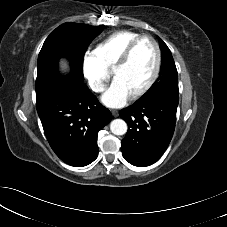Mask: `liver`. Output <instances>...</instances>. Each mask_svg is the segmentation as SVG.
Wrapping results in <instances>:
<instances>
[{"instance_id": "1", "label": "liver", "mask_w": 227, "mask_h": 227, "mask_svg": "<svg viewBox=\"0 0 227 227\" xmlns=\"http://www.w3.org/2000/svg\"><path fill=\"white\" fill-rule=\"evenodd\" d=\"M62 68H63V69L66 68V63H65V62L62 63Z\"/></svg>"}]
</instances>
